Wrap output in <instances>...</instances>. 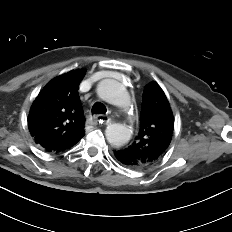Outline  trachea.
I'll return each instance as SVG.
<instances>
[{
  "instance_id": "1",
  "label": "trachea",
  "mask_w": 232,
  "mask_h": 232,
  "mask_svg": "<svg viewBox=\"0 0 232 232\" xmlns=\"http://www.w3.org/2000/svg\"><path fill=\"white\" fill-rule=\"evenodd\" d=\"M92 114H105L106 107L102 103H95L91 110Z\"/></svg>"
}]
</instances>
